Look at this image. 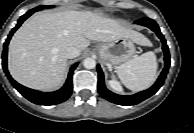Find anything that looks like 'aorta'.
I'll return each instance as SVG.
<instances>
[{"label":"aorta","mask_w":194,"mask_h":133,"mask_svg":"<svg viewBox=\"0 0 194 133\" xmlns=\"http://www.w3.org/2000/svg\"><path fill=\"white\" fill-rule=\"evenodd\" d=\"M83 65L86 69H93L96 66V61L94 58H86L83 61Z\"/></svg>","instance_id":"aorta-1"}]
</instances>
